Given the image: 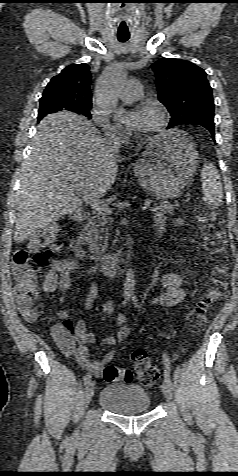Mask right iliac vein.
<instances>
[{
	"mask_svg": "<svg viewBox=\"0 0 238 476\" xmlns=\"http://www.w3.org/2000/svg\"><path fill=\"white\" fill-rule=\"evenodd\" d=\"M94 390H95V382L89 381L86 385L85 393H84V400H83L84 408H86L88 404L90 403L92 396L94 394Z\"/></svg>",
	"mask_w": 238,
	"mask_h": 476,
	"instance_id": "obj_1",
	"label": "right iliac vein"
}]
</instances>
